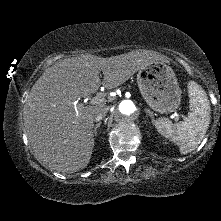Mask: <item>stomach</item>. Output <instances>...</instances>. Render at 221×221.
<instances>
[{"mask_svg": "<svg viewBox=\"0 0 221 221\" xmlns=\"http://www.w3.org/2000/svg\"><path fill=\"white\" fill-rule=\"evenodd\" d=\"M139 90L146 103L155 111L170 113L181 103V90L176 74L165 62L155 61L139 70Z\"/></svg>", "mask_w": 221, "mask_h": 221, "instance_id": "stomach-1", "label": "stomach"}]
</instances>
